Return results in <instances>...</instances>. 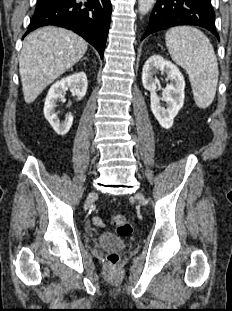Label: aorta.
<instances>
[{"instance_id":"1","label":"aorta","mask_w":232,"mask_h":311,"mask_svg":"<svg viewBox=\"0 0 232 311\" xmlns=\"http://www.w3.org/2000/svg\"><path fill=\"white\" fill-rule=\"evenodd\" d=\"M156 0H138V9L142 15L148 13L154 6Z\"/></svg>"}]
</instances>
